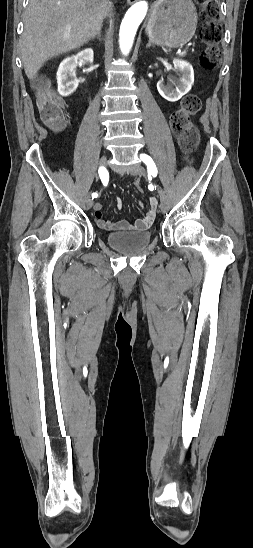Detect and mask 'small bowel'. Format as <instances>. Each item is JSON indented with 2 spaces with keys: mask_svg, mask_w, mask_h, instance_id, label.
Instances as JSON below:
<instances>
[{
  "mask_svg": "<svg viewBox=\"0 0 253 548\" xmlns=\"http://www.w3.org/2000/svg\"><path fill=\"white\" fill-rule=\"evenodd\" d=\"M158 201L155 197H151L149 200V207L146 210L142 218L137 219L134 223H129L125 220H120L113 222L110 220H105L102 215V205L100 203H95L94 205V216L97 224L105 230H145L153 222L156 214ZM140 207H143L142 203L139 202ZM117 206L121 207V202L117 200Z\"/></svg>",
  "mask_w": 253,
  "mask_h": 548,
  "instance_id": "c3829d8e",
  "label": "small bowel"
}]
</instances>
